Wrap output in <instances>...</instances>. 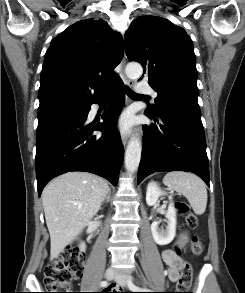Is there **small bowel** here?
Segmentation results:
<instances>
[{
	"instance_id": "small-bowel-1",
	"label": "small bowel",
	"mask_w": 245,
	"mask_h": 293,
	"mask_svg": "<svg viewBox=\"0 0 245 293\" xmlns=\"http://www.w3.org/2000/svg\"><path fill=\"white\" fill-rule=\"evenodd\" d=\"M162 260L167 267V277L171 282L179 279L180 271L185 266V261L179 257L172 249H167L162 253ZM115 293H125L117 290Z\"/></svg>"
}]
</instances>
